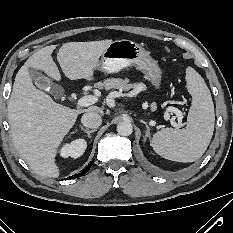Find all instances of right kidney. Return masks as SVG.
<instances>
[{"label":"right kidney","mask_w":233,"mask_h":233,"mask_svg":"<svg viewBox=\"0 0 233 233\" xmlns=\"http://www.w3.org/2000/svg\"><path fill=\"white\" fill-rule=\"evenodd\" d=\"M86 148H87L86 140L79 138V139L73 140L72 142L68 144H65L60 150V155L63 158L72 157L76 159L80 157L81 155H83Z\"/></svg>","instance_id":"ca27d5eb"}]
</instances>
